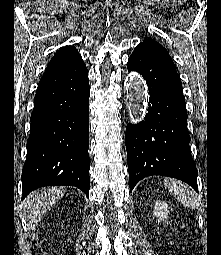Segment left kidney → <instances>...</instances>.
Listing matches in <instances>:
<instances>
[{
	"instance_id": "1",
	"label": "left kidney",
	"mask_w": 221,
	"mask_h": 255,
	"mask_svg": "<svg viewBox=\"0 0 221 255\" xmlns=\"http://www.w3.org/2000/svg\"><path fill=\"white\" fill-rule=\"evenodd\" d=\"M170 207L164 201H156L154 207V215L158 218V221L166 220L169 214Z\"/></svg>"
}]
</instances>
